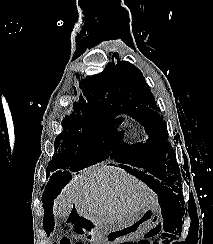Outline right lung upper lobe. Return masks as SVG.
Masks as SVG:
<instances>
[{"label":"right lung upper lobe","instance_id":"1","mask_svg":"<svg viewBox=\"0 0 213 244\" xmlns=\"http://www.w3.org/2000/svg\"><path fill=\"white\" fill-rule=\"evenodd\" d=\"M94 77H88V80L91 81V89L84 90L83 95L80 94L78 101L74 104V109H84L97 112H109V108L99 101L98 94L96 93L94 82Z\"/></svg>","mask_w":213,"mask_h":244}]
</instances>
